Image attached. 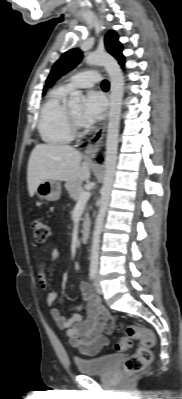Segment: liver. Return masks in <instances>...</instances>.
Wrapping results in <instances>:
<instances>
[{"label": "liver", "instance_id": "obj_1", "mask_svg": "<svg viewBox=\"0 0 182 399\" xmlns=\"http://www.w3.org/2000/svg\"><path fill=\"white\" fill-rule=\"evenodd\" d=\"M80 151L69 145L38 144L31 152L27 167L29 195L46 180L74 182L90 178V165L81 163Z\"/></svg>", "mask_w": 182, "mask_h": 399}]
</instances>
